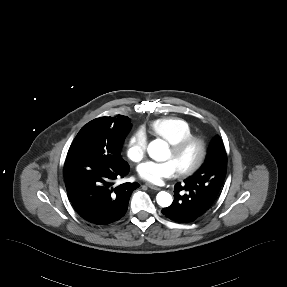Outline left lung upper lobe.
Wrapping results in <instances>:
<instances>
[{
    "label": "left lung upper lobe",
    "instance_id": "left-lung-upper-lobe-1",
    "mask_svg": "<svg viewBox=\"0 0 287 287\" xmlns=\"http://www.w3.org/2000/svg\"><path fill=\"white\" fill-rule=\"evenodd\" d=\"M227 170V155L221 138L211 142L206 160L201 168L184 181L185 185L201 191L207 197L217 198Z\"/></svg>",
    "mask_w": 287,
    "mask_h": 287
}]
</instances>
